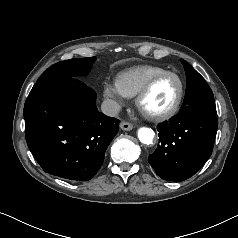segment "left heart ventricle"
<instances>
[{"label": "left heart ventricle", "instance_id": "1", "mask_svg": "<svg viewBox=\"0 0 238 238\" xmlns=\"http://www.w3.org/2000/svg\"><path fill=\"white\" fill-rule=\"evenodd\" d=\"M179 92V82L167 76L155 83L143 101V109L149 113H160L172 106Z\"/></svg>", "mask_w": 238, "mask_h": 238}]
</instances>
